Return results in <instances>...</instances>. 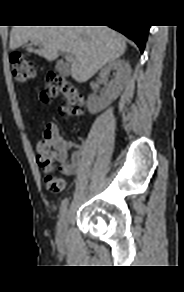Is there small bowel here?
<instances>
[{
    "mask_svg": "<svg viewBox=\"0 0 184 292\" xmlns=\"http://www.w3.org/2000/svg\"><path fill=\"white\" fill-rule=\"evenodd\" d=\"M50 143L54 149L56 160L60 163L59 171L66 176L75 175L83 163L82 146L61 136L56 128H54ZM71 148L73 152L69 156L68 150Z\"/></svg>",
    "mask_w": 184,
    "mask_h": 292,
    "instance_id": "1",
    "label": "small bowel"
}]
</instances>
